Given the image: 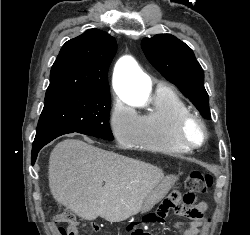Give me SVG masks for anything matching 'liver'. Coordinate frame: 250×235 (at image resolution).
<instances>
[{"label": "liver", "instance_id": "liver-1", "mask_svg": "<svg viewBox=\"0 0 250 235\" xmlns=\"http://www.w3.org/2000/svg\"><path fill=\"white\" fill-rule=\"evenodd\" d=\"M163 177L157 166L81 140L58 143L49 158V188L54 199L85 220L98 216L109 222L128 219L141 211Z\"/></svg>", "mask_w": 250, "mask_h": 235}]
</instances>
